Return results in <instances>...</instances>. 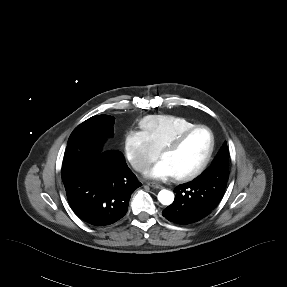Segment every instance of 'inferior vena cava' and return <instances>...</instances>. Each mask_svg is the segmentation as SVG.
I'll use <instances>...</instances> for the list:
<instances>
[{
    "instance_id": "1",
    "label": "inferior vena cava",
    "mask_w": 287,
    "mask_h": 287,
    "mask_svg": "<svg viewBox=\"0 0 287 287\" xmlns=\"http://www.w3.org/2000/svg\"><path fill=\"white\" fill-rule=\"evenodd\" d=\"M147 169H149V166L148 165H141V166H139V170L140 171H142V170H147Z\"/></svg>"
}]
</instances>
